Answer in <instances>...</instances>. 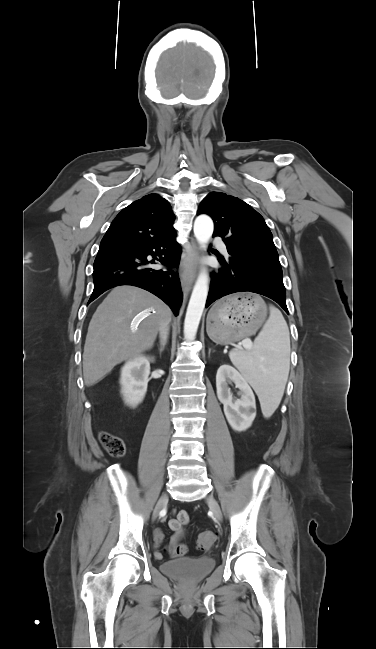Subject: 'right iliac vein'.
Segmentation results:
<instances>
[{
  "mask_svg": "<svg viewBox=\"0 0 376 649\" xmlns=\"http://www.w3.org/2000/svg\"><path fill=\"white\" fill-rule=\"evenodd\" d=\"M167 501H168V496H167V494H163V495L160 497V499H159V501L157 502V505H156V507H155V509H154V513H153V518H154V519L158 516V513H159L160 510L164 507V505L167 503Z\"/></svg>",
  "mask_w": 376,
  "mask_h": 649,
  "instance_id": "right-iliac-vein-1",
  "label": "right iliac vein"
}]
</instances>
